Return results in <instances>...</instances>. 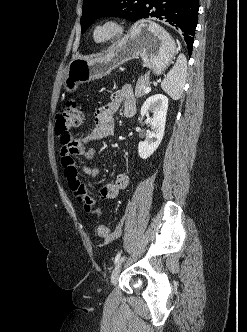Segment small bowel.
Wrapping results in <instances>:
<instances>
[{
  "label": "small bowel",
  "instance_id": "1",
  "mask_svg": "<svg viewBox=\"0 0 247 332\" xmlns=\"http://www.w3.org/2000/svg\"><path fill=\"white\" fill-rule=\"evenodd\" d=\"M122 108L125 117H132L136 112V100L131 87L124 86L114 92L111 101L100 106L94 113L95 128L92 132L78 140L74 139L73 145L63 144L60 151L61 164L64 169L65 178L69 189L77 196L84 211L93 216L99 217L101 209L95 206L96 200L114 199L121 190L125 189L129 182L126 173H119L112 182L102 187L96 195L89 191V188L82 182V176L97 177L99 168L97 166H79L75 156H81L91 161L95 155V149L91 143L96 140L110 138L114 135L113 115ZM118 232L114 235L116 237Z\"/></svg>",
  "mask_w": 247,
  "mask_h": 332
}]
</instances>
